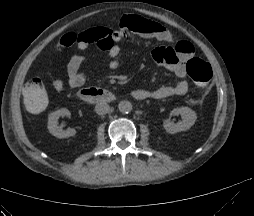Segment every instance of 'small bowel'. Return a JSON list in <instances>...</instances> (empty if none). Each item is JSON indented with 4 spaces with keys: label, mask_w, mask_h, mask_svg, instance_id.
<instances>
[{
    "label": "small bowel",
    "mask_w": 254,
    "mask_h": 216,
    "mask_svg": "<svg viewBox=\"0 0 254 216\" xmlns=\"http://www.w3.org/2000/svg\"><path fill=\"white\" fill-rule=\"evenodd\" d=\"M139 35L144 38L156 39L162 42H173L172 33L163 25L142 17H126L122 19L119 30L111 32L112 43L106 47L95 45L97 49L106 51L107 65L111 70H116L120 66L118 55L120 49L116 44L121 39L131 38ZM76 45L80 49H86L90 44L80 39L78 32H70L63 35L57 45V50ZM167 50H171L169 54ZM193 45L185 40L177 41L174 47H162L152 52V58L158 65L165 66L177 77L184 78L186 75V62L193 56ZM87 56L83 54L73 55L67 64V82L71 88H78L85 84L88 72L82 69ZM56 93L63 91L65 83L61 78H54L52 82ZM188 91V83L181 79L177 84L171 86H161L152 90L138 88L133 92L135 99L143 100L146 98L164 99L172 96H181Z\"/></svg>",
    "instance_id": "1"
}]
</instances>
